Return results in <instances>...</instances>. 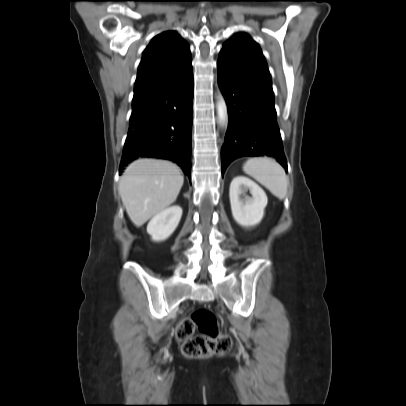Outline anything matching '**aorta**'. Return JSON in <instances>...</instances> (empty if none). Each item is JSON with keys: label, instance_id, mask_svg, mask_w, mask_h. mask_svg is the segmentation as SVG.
I'll list each match as a JSON object with an SVG mask.
<instances>
[{"label": "aorta", "instance_id": "1", "mask_svg": "<svg viewBox=\"0 0 406 406\" xmlns=\"http://www.w3.org/2000/svg\"><path fill=\"white\" fill-rule=\"evenodd\" d=\"M217 117L220 125L226 126L228 123L227 105L223 96L219 93L216 103Z\"/></svg>", "mask_w": 406, "mask_h": 406}]
</instances>
